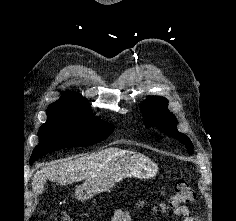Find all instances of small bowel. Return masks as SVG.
I'll return each instance as SVG.
<instances>
[{"instance_id":"1","label":"small bowel","mask_w":236,"mask_h":221,"mask_svg":"<svg viewBox=\"0 0 236 221\" xmlns=\"http://www.w3.org/2000/svg\"><path fill=\"white\" fill-rule=\"evenodd\" d=\"M144 201H138L137 206L140 208L145 207ZM176 216H182V221H200L197 216L191 214L186 206L179 207L175 210ZM110 221H131V211L127 209H117L114 211Z\"/></svg>"}]
</instances>
